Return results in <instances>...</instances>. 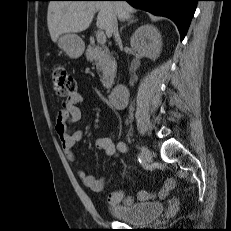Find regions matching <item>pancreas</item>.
<instances>
[{"label": "pancreas", "mask_w": 231, "mask_h": 231, "mask_svg": "<svg viewBox=\"0 0 231 231\" xmlns=\"http://www.w3.org/2000/svg\"><path fill=\"white\" fill-rule=\"evenodd\" d=\"M86 58L88 61L94 62L97 70L102 72L101 82L106 89H110L116 70L114 58L100 46H89Z\"/></svg>", "instance_id": "obj_1"}]
</instances>
